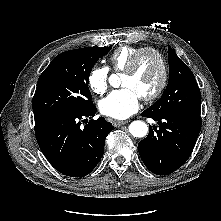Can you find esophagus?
I'll return each instance as SVG.
<instances>
[{"instance_id":"esophagus-1","label":"esophagus","mask_w":221,"mask_h":221,"mask_svg":"<svg viewBox=\"0 0 221 221\" xmlns=\"http://www.w3.org/2000/svg\"><path fill=\"white\" fill-rule=\"evenodd\" d=\"M126 123H128V121H118V120H115V121H113V126L114 127H120L122 125H125Z\"/></svg>"}]
</instances>
